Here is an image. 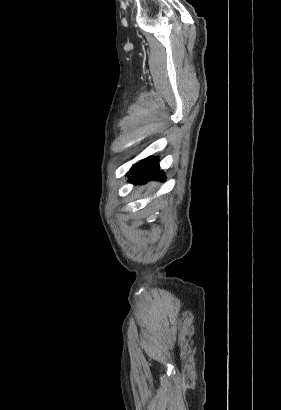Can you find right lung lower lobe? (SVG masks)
<instances>
[{"label":"right lung lower lobe","instance_id":"1","mask_svg":"<svg viewBox=\"0 0 281 410\" xmlns=\"http://www.w3.org/2000/svg\"><path fill=\"white\" fill-rule=\"evenodd\" d=\"M129 182L145 184L148 181L159 179L165 180V175L162 170H159L157 157H148L136 163L127 173Z\"/></svg>","mask_w":281,"mask_h":410}]
</instances>
